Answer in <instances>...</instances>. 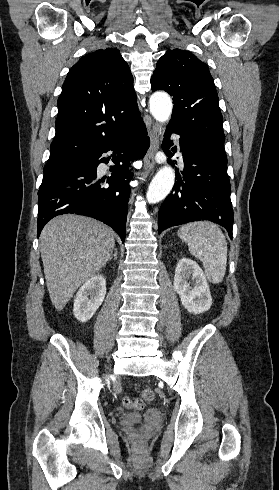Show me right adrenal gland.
Here are the masks:
<instances>
[{
  "label": "right adrenal gland",
  "mask_w": 279,
  "mask_h": 490,
  "mask_svg": "<svg viewBox=\"0 0 279 490\" xmlns=\"http://www.w3.org/2000/svg\"><path fill=\"white\" fill-rule=\"evenodd\" d=\"M117 248H114V254H111L110 258H108V260H112V258H114V260H117Z\"/></svg>",
  "instance_id": "1"
}]
</instances>
